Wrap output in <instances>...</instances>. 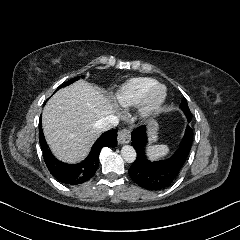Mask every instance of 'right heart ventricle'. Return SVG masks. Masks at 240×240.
Here are the masks:
<instances>
[{"mask_svg": "<svg viewBox=\"0 0 240 240\" xmlns=\"http://www.w3.org/2000/svg\"><path fill=\"white\" fill-rule=\"evenodd\" d=\"M157 82L148 78H136L118 86L113 92L114 101L120 109L138 105L145 94L153 89Z\"/></svg>", "mask_w": 240, "mask_h": 240, "instance_id": "1", "label": "right heart ventricle"}]
</instances>
